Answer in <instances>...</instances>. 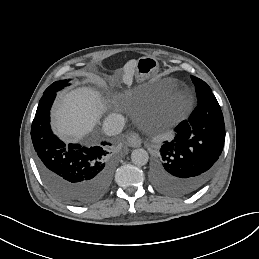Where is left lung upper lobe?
<instances>
[{
  "label": "left lung upper lobe",
  "mask_w": 259,
  "mask_h": 259,
  "mask_svg": "<svg viewBox=\"0 0 259 259\" xmlns=\"http://www.w3.org/2000/svg\"><path fill=\"white\" fill-rule=\"evenodd\" d=\"M191 79L196 87V92H200L201 90H211V88L201 79L191 76Z\"/></svg>",
  "instance_id": "left-lung-upper-lobe-1"
}]
</instances>
